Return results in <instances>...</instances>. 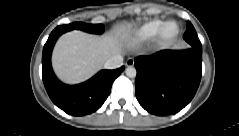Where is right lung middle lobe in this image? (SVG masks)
<instances>
[{"mask_svg": "<svg viewBox=\"0 0 239 136\" xmlns=\"http://www.w3.org/2000/svg\"><path fill=\"white\" fill-rule=\"evenodd\" d=\"M59 29L63 30V32H67L73 29L82 30L88 33L93 34H102L104 32V26L102 24H87L82 22L71 23L68 25L58 26Z\"/></svg>", "mask_w": 239, "mask_h": 136, "instance_id": "dd1d6c3e", "label": "right lung middle lobe"}]
</instances>
